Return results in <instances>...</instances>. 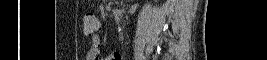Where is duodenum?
I'll return each instance as SVG.
<instances>
[{"label":"duodenum","mask_w":267,"mask_h":60,"mask_svg":"<svg viewBox=\"0 0 267 60\" xmlns=\"http://www.w3.org/2000/svg\"><path fill=\"white\" fill-rule=\"evenodd\" d=\"M112 14H113V16L115 17V18H120L121 17V15H122V11H121V9H114L113 11H112Z\"/></svg>","instance_id":"duodenum-1"}]
</instances>
